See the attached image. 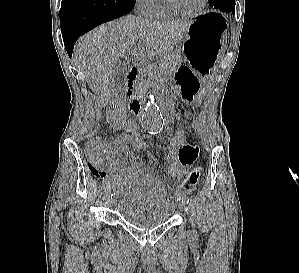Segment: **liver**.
<instances>
[{
    "label": "liver",
    "mask_w": 299,
    "mask_h": 273,
    "mask_svg": "<svg viewBox=\"0 0 299 273\" xmlns=\"http://www.w3.org/2000/svg\"><path fill=\"white\" fill-rule=\"evenodd\" d=\"M192 21H154L128 15L100 25L76 43L73 58L101 104L109 102V79L119 58L168 53L181 41Z\"/></svg>",
    "instance_id": "1"
}]
</instances>
